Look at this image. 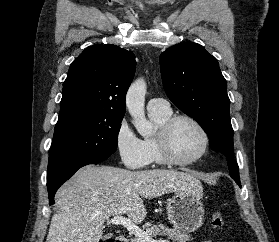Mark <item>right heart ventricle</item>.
I'll return each instance as SVG.
<instances>
[{"label": "right heart ventricle", "instance_id": "1", "mask_svg": "<svg viewBox=\"0 0 279 242\" xmlns=\"http://www.w3.org/2000/svg\"><path fill=\"white\" fill-rule=\"evenodd\" d=\"M172 116L171 109L169 110H149V117L151 121L153 122L156 130L160 128V126L170 117ZM155 135L145 137L143 139L144 146L147 150V153L149 155L150 162H155L158 164H166L164 159L162 158L160 151L158 149Z\"/></svg>", "mask_w": 279, "mask_h": 242}]
</instances>
